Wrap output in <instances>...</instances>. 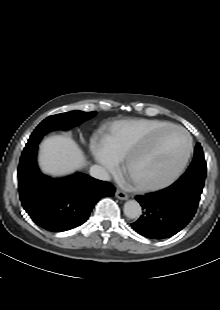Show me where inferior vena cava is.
Here are the masks:
<instances>
[{
    "instance_id": "1",
    "label": "inferior vena cava",
    "mask_w": 220,
    "mask_h": 310,
    "mask_svg": "<svg viewBox=\"0 0 220 310\" xmlns=\"http://www.w3.org/2000/svg\"><path fill=\"white\" fill-rule=\"evenodd\" d=\"M90 175L96 179L108 181L110 180V176L108 172L99 165H93L90 167Z\"/></svg>"
}]
</instances>
